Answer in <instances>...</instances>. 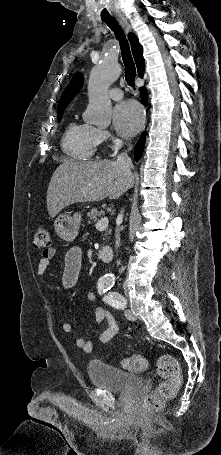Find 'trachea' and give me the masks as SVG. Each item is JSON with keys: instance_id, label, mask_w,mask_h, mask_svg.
Returning <instances> with one entry per match:
<instances>
[{"instance_id": "trachea-1", "label": "trachea", "mask_w": 221, "mask_h": 455, "mask_svg": "<svg viewBox=\"0 0 221 455\" xmlns=\"http://www.w3.org/2000/svg\"><path fill=\"white\" fill-rule=\"evenodd\" d=\"M102 20L112 29V31H114L115 36L119 41L122 59L125 66V79L128 85L133 87L135 85L136 68L126 36L115 19L103 18Z\"/></svg>"}]
</instances>
